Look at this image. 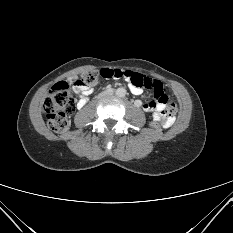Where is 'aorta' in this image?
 Instances as JSON below:
<instances>
[{
  "instance_id": "obj_1",
  "label": "aorta",
  "mask_w": 233,
  "mask_h": 233,
  "mask_svg": "<svg viewBox=\"0 0 233 233\" xmlns=\"http://www.w3.org/2000/svg\"><path fill=\"white\" fill-rule=\"evenodd\" d=\"M116 95L118 97H124L126 95V90L124 88H118L116 90Z\"/></svg>"
}]
</instances>
